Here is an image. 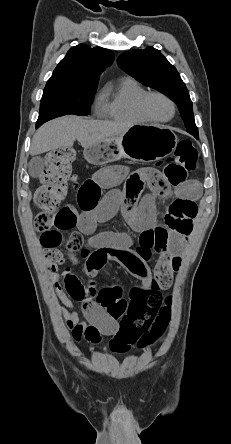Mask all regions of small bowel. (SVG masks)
I'll use <instances>...</instances> for the list:
<instances>
[{"mask_svg": "<svg viewBox=\"0 0 231 444\" xmlns=\"http://www.w3.org/2000/svg\"><path fill=\"white\" fill-rule=\"evenodd\" d=\"M124 182V188L117 187ZM148 186L150 193L141 200V194ZM109 190L102 195V190ZM170 193L167 181L156 170L132 171L123 165H109L98 170L87 179L77 191L80 212L68 206L75 215V226L67 246L70 251L83 249L85 257L84 275L88 280L84 287L81 313L63 290L62 274L59 265L62 256L55 248L61 241L60 233H46L42 237L47 248L44 264L48 268L51 286L59 298V309L75 341L82 338L97 344L103 336L116 334L119 322L126 313L128 301L119 287L97 291L93 279L109 261H114L139 280L134 295L149 292L154 285L167 289L172 283L173 274L180 265V253L186 236L168 228V213L163 233L158 235L153 226L155 221V198L166 197ZM178 200L195 203L201 193L197 181H189L176 190ZM177 200V201H178ZM170 211V210H169ZM121 212L128 225L140 234V245L131 248L128 233L98 231L99 223ZM154 264H150L153 254Z\"/></svg>", "mask_w": 231, "mask_h": 444, "instance_id": "c3829d8e", "label": "small bowel"}]
</instances>
